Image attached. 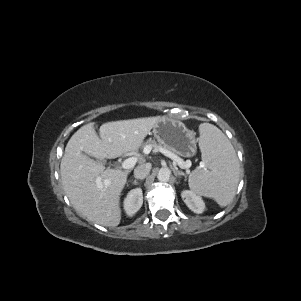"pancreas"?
Here are the masks:
<instances>
[{
  "label": "pancreas",
  "instance_id": "pancreas-1",
  "mask_svg": "<svg viewBox=\"0 0 301 301\" xmlns=\"http://www.w3.org/2000/svg\"><path fill=\"white\" fill-rule=\"evenodd\" d=\"M146 146H152L154 148H163V149H166L168 151H170L171 153L174 154V152H172L171 150H169L168 148H166L165 146L161 145V144H157L154 140H148L145 144H144V147Z\"/></svg>",
  "mask_w": 301,
  "mask_h": 301
}]
</instances>
